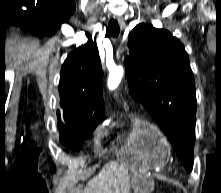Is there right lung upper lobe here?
I'll use <instances>...</instances> for the list:
<instances>
[{
	"instance_id": "right-lung-upper-lobe-1",
	"label": "right lung upper lobe",
	"mask_w": 221,
	"mask_h": 193,
	"mask_svg": "<svg viewBox=\"0 0 221 193\" xmlns=\"http://www.w3.org/2000/svg\"><path fill=\"white\" fill-rule=\"evenodd\" d=\"M103 71L92 39L68 55L61 68L59 93L64 122L104 116ZM58 119L61 120L58 112Z\"/></svg>"
}]
</instances>
